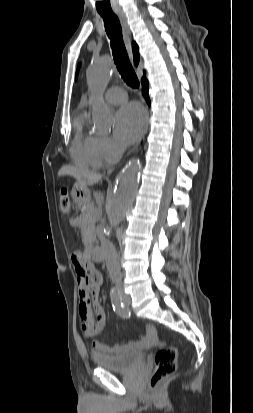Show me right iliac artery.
Here are the masks:
<instances>
[{
    "instance_id": "right-iliac-artery-1",
    "label": "right iliac artery",
    "mask_w": 253,
    "mask_h": 413,
    "mask_svg": "<svg viewBox=\"0 0 253 413\" xmlns=\"http://www.w3.org/2000/svg\"><path fill=\"white\" fill-rule=\"evenodd\" d=\"M110 296H111L113 310L122 318L129 317L130 312L122 303L120 292L117 289H114L111 291Z\"/></svg>"
}]
</instances>
